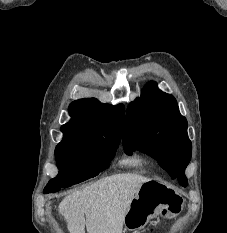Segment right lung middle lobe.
<instances>
[{
	"label": "right lung middle lobe",
	"mask_w": 227,
	"mask_h": 233,
	"mask_svg": "<svg viewBox=\"0 0 227 233\" xmlns=\"http://www.w3.org/2000/svg\"><path fill=\"white\" fill-rule=\"evenodd\" d=\"M120 137L100 140H83L64 137L55 149L58 175L44 188L54 193L98 175L109 167L115 156Z\"/></svg>",
	"instance_id": "obj_1"
}]
</instances>
